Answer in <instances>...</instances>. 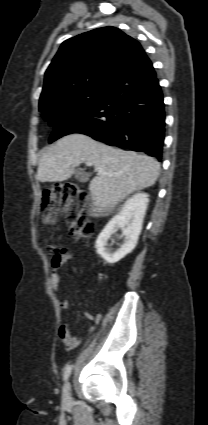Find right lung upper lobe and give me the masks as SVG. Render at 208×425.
Segmentation results:
<instances>
[{
	"label": "right lung upper lobe",
	"instance_id": "obj_1",
	"mask_svg": "<svg viewBox=\"0 0 208 425\" xmlns=\"http://www.w3.org/2000/svg\"><path fill=\"white\" fill-rule=\"evenodd\" d=\"M144 56L140 43L115 27L70 38L45 72L40 102L84 89H106Z\"/></svg>",
	"mask_w": 208,
	"mask_h": 425
}]
</instances>
